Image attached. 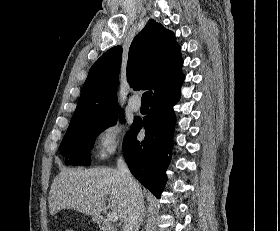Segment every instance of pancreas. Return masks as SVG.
Returning <instances> with one entry per match:
<instances>
[{
    "label": "pancreas",
    "instance_id": "1",
    "mask_svg": "<svg viewBox=\"0 0 280 231\" xmlns=\"http://www.w3.org/2000/svg\"><path fill=\"white\" fill-rule=\"evenodd\" d=\"M103 231H114V229H112V227H110V225H105Z\"/></svg>",
    "mask_w": 280,
    "mask_h": 231
}]
</instances>
